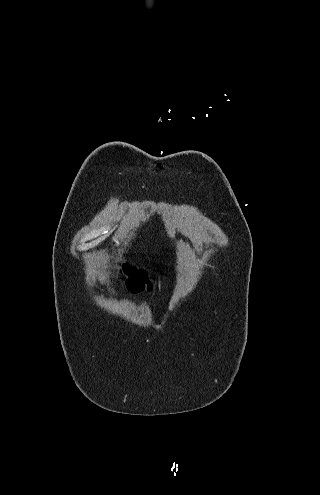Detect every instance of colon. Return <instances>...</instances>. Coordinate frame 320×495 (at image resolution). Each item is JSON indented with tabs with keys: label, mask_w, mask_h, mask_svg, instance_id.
<instances>
[{
	"label": "colon",
	"mask_w": 320,
	"mask_h": 495,
	"mask_svg": "<svg viewBox=\"0 0 320 495\" xmlns=\"http://www.w3.org/2000/svg\"><path fill=\"white\" fill-rule=\"evenodd\" d=\"M123 270L124 273L128 276L126 284L129 288L138 291L145 286L146 276L142 269L131 264H126Z\"/></svg>",
	"instance_id": "colon-1"
}]
</instances>
